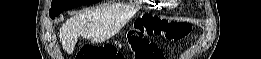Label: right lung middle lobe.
Returning <instances> with one entry per match:
<instances>
[{"label":"right lung middle lobe","instance_id":"dd1d6c3e","mask_svg":"<svg viewBox=\"0 0 261 59\" xmlns=\"http://www.w3.org/2000/svg\"><path fill=\"white\" fill-rule=\"evenodd\" d=\"M101 0H52L49 15L51 18L58 16L61 12L70 10L81 5L93 4Z\"/></svg>","mask_w":261,"mask_h":59}]
</instances>
